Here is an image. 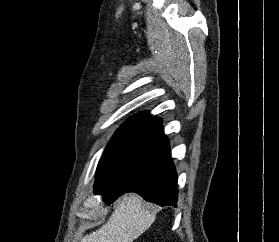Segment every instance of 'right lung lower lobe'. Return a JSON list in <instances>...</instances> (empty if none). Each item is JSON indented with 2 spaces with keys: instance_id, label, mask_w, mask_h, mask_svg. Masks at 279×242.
<instances>
[{
  "instance_id": "right-lung-lower-lobe-1",
  "label": "right lung lower lobe",
  "mask_w": 279,
  "mask_h": 242,
  "mask_svg": "<svg viewBox=\"0 0 279 242\" xmlns=\"http://www.w3.org/2000/svg\"><path fill=\"white\" fill-rule=\"evenodd\" d=\"M177 173L171 159L169 140L161 128L158 134L121 164L111 175L94 185L109 205L118 197L135 192L160 206H176Z\"/></svg>"
}]
</instances>
